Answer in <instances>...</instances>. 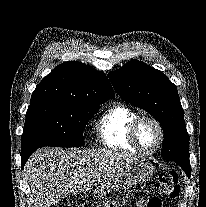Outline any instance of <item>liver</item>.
Listing matches in <instances>:
<instances>
[{
  "label": "liver",
  "mask_w": 206,
  "mask_h": 207,
  "mask_svg": "<svg viewBox=\"0 0 206 207\" xmlns=\"http://www.w3.org/2000/svg\"><path fill=\"white\" fill-rule=\"evenodd\" d=\"M138 158L112 150L40 148L25 165L33 207H50L94 187L97 194L98 184Z\"/></svg>",
  "instance_id": "1"
}]
</instances>
